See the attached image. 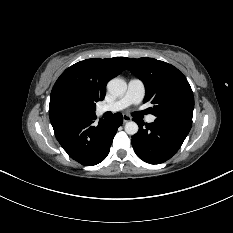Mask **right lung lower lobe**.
<instances>
[{
  "mask_svg": "<svg viewBox=\"0 0 233 233\" xmlns=\"http://www.w3.org/2000/svg\"><path fill=\"white\" fill-rule=\"evenodd\" d=\"M95 120V113L51 120L60 145L72 159L85 166L96 165L107 157L123 116L115 113L108 120L100 119L98 123Z\"/></svg>",
  "mask_w": 233,
  "mask_h": 233,
  "instance_id": "right-lung-lower-lobe-1",
  "label": "right lung lower lobe"
}]
</instances>
